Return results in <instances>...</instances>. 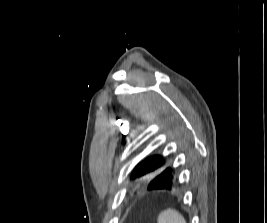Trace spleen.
Wrapping results in <instances>:
<instances>
[{
    "instance_id": "3e777b00",
    "label": "spleen",
    "mask_w": 267,
    "mask_h": 223,
    "mask_svg": "<svg viewBox=\"0 0 267 223\" xmlns=\"http://www.w3.org/2000/svg\"><path fill=\"white\" fill-rule=\"evenodd\" d=\"M158 223H186V221L179 212L169 208L160 213Z\"/></svg>"
}]
</instances>
